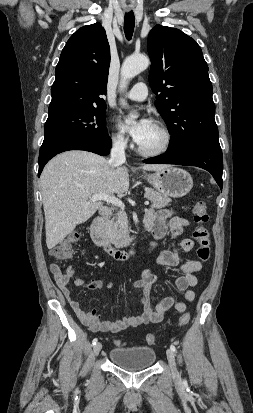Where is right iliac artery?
Returning <instances> with one entry per match:
<instances>
[{
  "label": "right iliac artery",
  "mask_w": 253,
  "mask_h": 413,
  "mask_svg": "<svg viewBox=\"0 0 253 413\" xmlns=\"http://www.w3.org/2000/svg\"><path fill=\"white\" fill-rule=\"evenodd\" d=\"M97 341H98L97 338H94L93 341H92V344L95 345L97 343Z\"/></svg>",
  "instance_id": "82829eb1"
}]
</instances>
